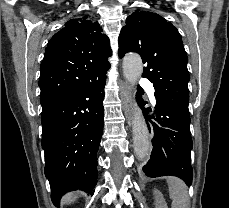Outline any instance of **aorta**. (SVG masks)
I'll use <instances>...</instances> for the list:
<instances>
[{
  "instance_id": "762f6f07",
  "label": "aorta",
  "mask_w": 229,
  "mask_h": 208,
  "mask_svg": "<svg viewBox=\"0 0 229 208\" xmlns=\"http://www.w3.org/2000/svg\"><path fill=\"white\" fill-rule=\"evenodd\" d=\"M142 71L143 65L139 55L129 54L124 57L123 74L129 83L136 84ZM132 126L134 152L140 160H144L148 157L150 150L149 133L144 116L137 105L135 106Z\"/></svg>"
}]
</instances>
